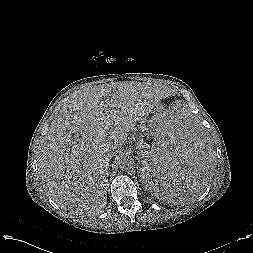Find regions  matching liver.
Masks as SVG:
<instances>
[{"label":"liver","mask_w":253,"mask_h":253,"mask_svg":"<svg viewBox=\"0 0 253 253\" xmlns=\"http://www.w3.org/2000/svg\"><path fill=\"white\" fill-rule=\"evenodd\" d=\"M164 92L160 85L122 82L75 93L41 141L38 168L52 200L78 213L104 208L113 151Z\"/></svg>","instance_id":"liver-1"}]
</instances>
